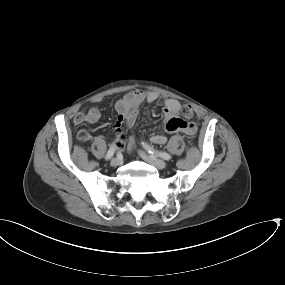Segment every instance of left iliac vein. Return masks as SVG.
I'll use <instances>...</instances> for the list:
<instances>
[{"label": "left iliac vein", "instance_id": "obj_1", "mask_svg": "<svg viewBox=\"0 0 285 285\" xmlns=\"http://www.w3.org/2000/svg\"><path fill=\"white\" fill-rule=\"evenodd\" d=\"M141 157L148 162L149 164L155 166L158 169L166 168V162L162 159L157 158L154 155H147L145 153H141Z\"/></svg>", "mask_w": 285, "mask_h": 285}]
</instances>
